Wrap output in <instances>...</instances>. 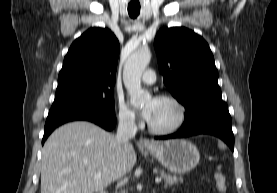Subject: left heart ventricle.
Wrapping results in <instances>:
<instances>
[{
    "instance_id": "left-heart-ventricle-1",
    "label": "left heart ventricle",
    "mask_w": 277,
    "mask_h": 193,
    "mask_svg": "<svg viewBox=\"0 0 277 193\" xmlns=\"http://www.w3.org/2000/svg\"><path fill=\"white\" fill-rule=\"evenodd\" d=\"M177 117V109L171 102L157 99L152 117L148 122L156 128H167L176 122Z\"/></svg>"
}]
</instances>
